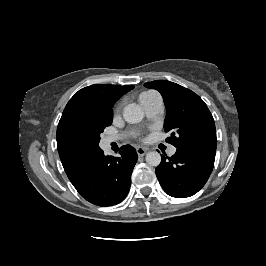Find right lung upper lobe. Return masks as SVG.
I'll return each mask as SVG.
<instances>
[{
	"label": "right lung upper lobe",
	"instance_id": "obj_1",
	"mask_svg": "<svg viewBox=\"0 0 266 266\" xmlns=\"http://www.w3.org/2000/svg\"><path fill=\"white\" fill-rule=\"evenodd\" d=\"M133 88V85L95 84L76 92L67 103L57 127L56 140L63 168L73 185L83 177L100 151L78 144L75 137L97 117L112 112L113 104Z\"/></svg>",
	"mask_w": 266,
	"mask_h": 266
}]
</instances>
